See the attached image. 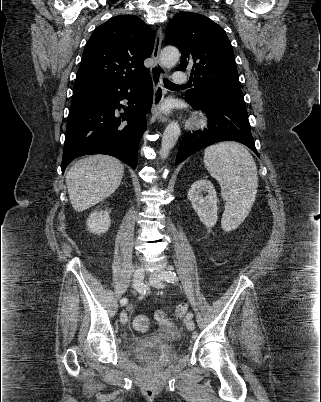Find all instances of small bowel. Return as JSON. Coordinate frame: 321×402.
Listing matches in <instances>:
<instances>
[{
    "instance_id": "small-bowel-1",
    "label": "small bowel",
    "mask_w": 321,
    "mask_h": 402,
    "mask_svg": "<svg viewBox=\"0 0 321 402\" xmlns=\"http://www.w3.org/2000/svg\"><path fill=\"white\" fill-rule=\"evenodd\" d=\"M155 318L157 319L160 326V333L166 339H174L178 330L172 319L167 318L163 311H157L155 313Z\"/></svg>"
}]
</instances>
